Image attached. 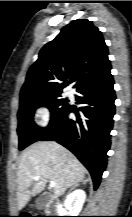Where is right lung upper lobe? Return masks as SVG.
I'll use <instances>...</instances> for the list:
<instances>
[{
	"label": "right lung upper lobe",
	"mask_w": 132,
	"mask_h": 217,
	"mask_svg": "<svg viewBox=\"0 0 132 217\" xmlns=\"http://www.w3.org/2000/svg\"><path fill=\"white\" fill-rule=\"evenodd\" d=\"M108 49L91 21L77 19L47 43L30 67L20 98L62 93L74 82L80 90L112 77Z\"/></svg>",
	"instance_id": "1"
}]
</instances>
